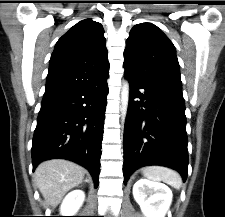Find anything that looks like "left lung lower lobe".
Instances as JSON below:
<instances>
[{"label": "left lung lower lobe", "instance_id": "1", "mask_svg": "<svg viewBox=\"0 0 225 217\" xmlns=\"http://www.w3.org/2000/svg\"><path fill=\"white\" fill-rule=\"evenodd\" d=\"M124 75L130 83L124 131V183L136 169L147 165L175 169L185 181L188 150L182 90L147 84L125 72Z\"/></svg>", "mask_w": 225, "mask_h": 217}]
</instances>
